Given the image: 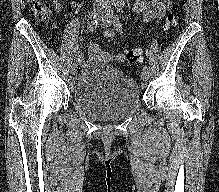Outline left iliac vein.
<instances>
[{
  "label": "left iliac vein",
  "instance_id": "left-iliac-vein-1",
  "mask_svg": "<svg viewBox=\"0 0 219 192\" xmlns=\"http://www.w3.org/2000/svg\"><path fill=\"white\" fill-rule=\"evenodd\" d=\"M102 24L105 27L114 26L116 27V19L110 9L105 10V12L101 16ZM141 78L143 80V85H146L149 75L148 72L142 71Z\"/></svg>",
  "mask_w": 219,
  "mask_h": 192
}]
</instances>
